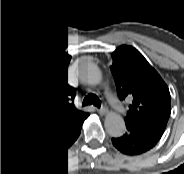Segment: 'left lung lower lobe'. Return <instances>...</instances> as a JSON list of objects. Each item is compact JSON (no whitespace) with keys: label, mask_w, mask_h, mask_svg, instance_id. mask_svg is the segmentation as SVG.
Instances as JSON below:
<instances>
[{"label":"left lung lower lobe","mask_w":184,"mask_h":174,"mask_svg":"<svg viewBox=\"0 0 184 174\" xmlns=\"http://www.w3.org/2000/svg\"><path fill=\"white\" fill-rule=\"evenodd\" d=\"M127 132L113 138V145L123 153L136 155L150 150L156 145L162 135L147 132L135 127L126 126Z\"/></svg>","instance_id":"obj_1"}]
</instances>
